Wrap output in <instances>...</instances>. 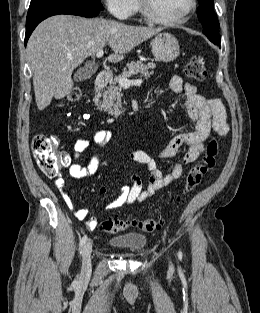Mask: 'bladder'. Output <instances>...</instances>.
<instances>
[{"mask_svg":"<svg viewBox=\"0 0 260 313\" xmlns=\"http://www.w3.org/2000/svg\"><path fill=\"white\" fill-rule=\"evenodd\" d=\"M147 239L140 234H126L112 237L108 243L110 246L118 249H127L132 251H139L146 245Z\"/></svg>","mask_w":260,"mask_h":313,"instance_id":"obj_1","label":"bladder"}]
</instances>
